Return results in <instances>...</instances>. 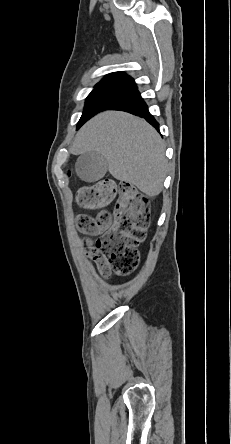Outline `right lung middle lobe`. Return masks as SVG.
Segmentation results:
<instances>
[{
    "label": "right lung middle lobe",
    "mask_w": 231,
    "mask_h": 444,
    "mask_svg": "<svg viewBox=\"0 0 231 444\" xmlns=\"http://www.w3.org/2000/svg\"><path fill=\"white\" fill-rule=\"evenodd\" d=\"M127 94L125 90L113 86L95 87L86 99L84 112L77 124V129L95 114L107 110Z\"/></svg>",
    "instance_id": "1"
}]
</instances>
